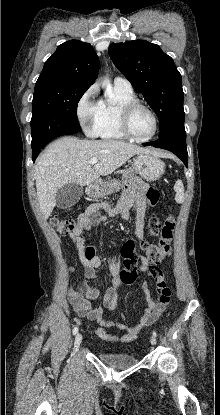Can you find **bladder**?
<instances>
[{
	"label": "bladder",
	"instance_id": "obj_1",
	"mask_svg": "<svg viewBox=\"0 0 220 415\" xmlns=\"http://www.w3.org/2000/svg\"><path fill=\"white\" fill-rule=\"evenodd\" d=\"M98 357L101 361L117 368H130L137 363L136 357L128 353L100 352Z\"/></svg>",
	"mask_w": 220,
	"mask_h": 415
}]
</instances>
